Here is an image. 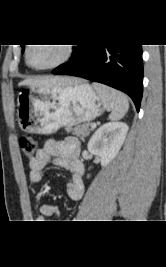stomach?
Returning a JSON list of instances; mask_svg holds the SVG:
<instances>
[{
  "label": "stomach",
  "mask_w": 166,
  "mask_h": 267,
  "mask_svg": "<svg viewBox=\"0 0 166 267\" xmlns=\"http://www.w3.org/2000/svg\"><path fill=\"white\" fill-rule=\"evenodd\" d=\"M17 106L20 129L44 135L90 122L105 109L98 93L84 81L57 87L29 86L19 93Z\"/></svg>",
  "instance_id": "1"
}]
</instances>
